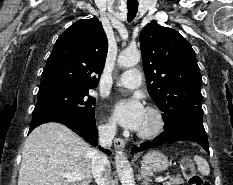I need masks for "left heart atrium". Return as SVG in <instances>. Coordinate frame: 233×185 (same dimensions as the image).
Masks as SVG:
<instances>
[{"instance_id": "obj_1", "label": "left heart atrium", "mask_w": 233, "mask_h": 185, "mask_svg": "<svg viewBox=\"0 0 233 185\" xmlns=\"http://www.w3.org/2000/svg\"><path fill=\"white\" fill-rule=\"evenodd\" d=\"M145 108L137 98L117 101L112 107V115L122 127L138 131L145 116Z\"/></svg>"}]
</instances>
